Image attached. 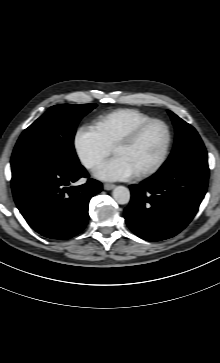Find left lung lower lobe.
<instances>
[{"label": "left lung lower lobe", "mask_w": 220, "mask_h": 363, "mask_svg": "<svg viewBox=\"0 0 220 363\" xmlns=\"http://www.w3.org/2000/svg\"><path fill=\"white\" fill-rule=\"evenodd\" d=\"M207 154H189L139 185H131V201L124 215L140 238L160 241L182 231L192 220L207 189Z\"/></svg>", "instance_id": "obj_1"}]
</instances>
